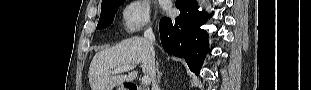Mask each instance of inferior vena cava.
<instances>
[{
  "mask_svg": "<svg viewBox=\"0 0 311 90\" xmlns=\"http://www.w3.org/2000/svg\"><path fill=\"white\" fill-rule=\"evenodd\" d=\"M144 38L147 40L145 43H144V46L146 48H149L151 46V43L153 42L155 36H154V33H153V30L151 27L147 28V30L145 31L144 33ZM147 59L148 60H155L156 59V54L154 53V50L152 48H149L147 50ZM152 64L154 63L153 65V69H152V74H151V77H152V81H153V84H155V76H156V67H155V61L151 62Z\"/></svg>",
  "mask_w": 311,
  "mask_h": 90,
  "instance_id": "obj_1",
  "label": "inferior vena cava"
}]
</instances>
